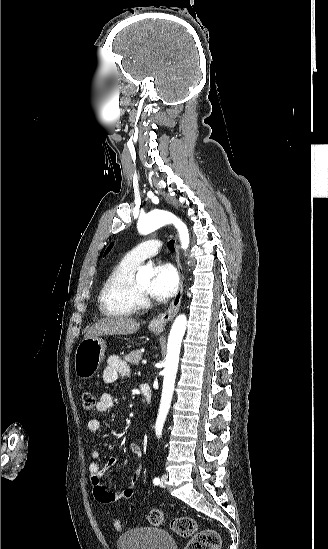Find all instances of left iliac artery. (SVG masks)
Instances as JSON below:
<instances>
[{"label":"left iliac artery","mask_w":328,"mask_h":549,"mask_svg":"<svg viewBox=\"0 0 328 549\" xmlns=\"http://www.w3.org/2000/svg\"><path fill=\"white\" fill-rule=\"evenodd\" d=\"M153 483H154L155 485H158V484L160 483V479H159V478H155V479L153 480Z\"/></svg>","instance_id":"1"}]
</instances>
